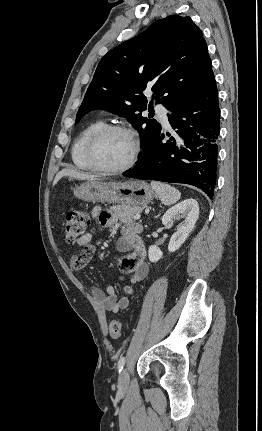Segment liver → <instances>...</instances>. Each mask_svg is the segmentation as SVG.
I'll list each match as a JSON object with an SVG mask.
<instances>
[{
  "instance_id": "1",
  "label": "liver",
  "mask_w": 262,
  "mask_h": 431,
  "mask_svg": "<svg viewBox=\"0 0 262 431\" xmlns=\"http://www.w3.org/2000/svg\"><path fill=\"white\" fill-rule=\"evenodd\" d=\"M71 177V178H75L78 180H95L98 179V177L96 175H91V174H87V173H81L72 169H62L61 171H59L53 181V186L56 185L58 183V181L65 177Z\"/></svg>"
}]
</instances>
